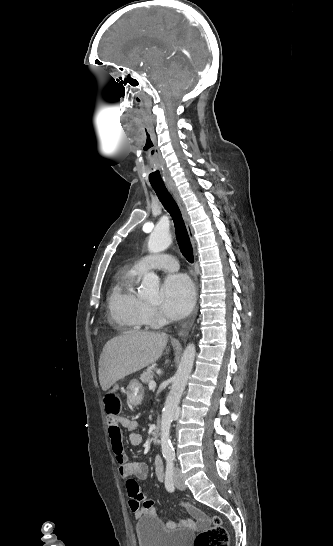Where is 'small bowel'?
<instances>
[{"label":"small bowel","instance_id":"small-bowel-1","mask_svg":"<svg viewBox=\"0 0 333 546\" xmlns=\"http://www.w3.org/2000/svg\"><path fill=\"white\" fill-rule=\"evenodd\" d=\"M118 387L111 386L110 392H118ZM107 412V411H106ZM107 426L110 444L118 463L119 474L126 480L127 493L130 498L129 507L135 514V517H140L142 514H156L154 501L151 499H145L141 493L137 484V479H145L148 475L149 469L144 462H130L123 450L122 436L120 426L130 431L129 441L132 445H140L143 442V437L136 433L135 430L138 427V422L127 417L119 415L118 418H109L107 415ZM155 473L159 481L165 479V473L162 460L157 457L155 459ZM190 513L200 523H204V515L196 508L191 507ZM184 521H180L178 524H184ZM174 522H168L167 525H174Z\"/></svg>","mask_w":333,"mask_h":546}]
</instances>
